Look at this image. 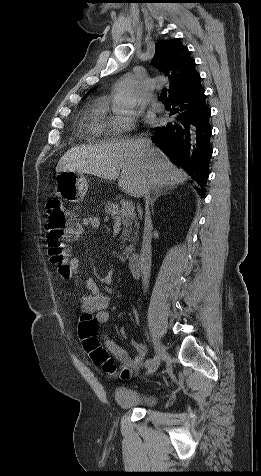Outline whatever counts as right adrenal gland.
<instances>
[{"label": "right adrenal gland", "instance_id": "obj_1", "mask_svg": "<svg viewBox=\"0 0 261 476\" xmlns=\"http://www.w3.org/2000/svg\"><path fill=\"white\" fill-rule=\"evenodd\" d=\"M171 191V188H155L152 192V195L146 197V204H150L151 206V209H152V212L154 213V210H153V206H154V202L161 196V195H165L167 193H170Z\"/></svg>", "mask_w": 261, "mask_h": 476}]
</instances>
